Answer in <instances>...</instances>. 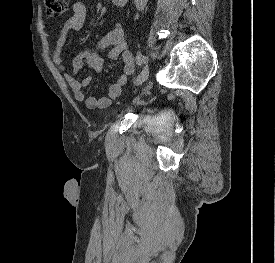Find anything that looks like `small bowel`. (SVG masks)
Returning a JSON list of instances; mask_svg holds the SVG:
<instances>
[{
  "instance_id": "c3829d8e",
  "label": "small bowel",
  "mask_w": 275,
  "mask_h": 263,
  "mask_svg": "<svg viewBox=\"0 0 275 263\" xmlns=\"http://www.w3.org/2000/svg\"><path fill=\"white\" fill-rule=\"evenodd\" d=\"M87 14L88 7L85 3L77 1L73 4L72 13L64 22L57 37L52 60L68 83L76 101L84 102L91 109H103L107 108L114 99L121 95L122 88L127 82V76L134 72L135 65L133 56L127 47L124 29L120 23H116L114 29L101 37L90 49L76 55L72 61V71L67 70L62 59V49L66 43L68 33L70 31H80L84 27ZM108 47H110L108 58L111 61L122 56L124 62L123 72L110 85L105 97H88L84 87L91 84L93 78L92 76H86L79 80L77 74L84 65H87L90 71L101 73L104 63L99 52Z\"/></svg>"
}]
</instances>
